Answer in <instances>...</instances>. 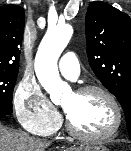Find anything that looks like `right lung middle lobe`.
Wrapping results in <instances>:
<instances>
[{
	"instance_id": "right-lung-middle-lobe-1",
	"label": "right lung middle lobe",
	"mask_w": 131,
	"mask_h": 151,
	"mask_svg": "<svg viewBox=\"0 0 131 151\" xmlns=\"http://www.w3.org/2000/svg\"><path fill=\"white\" fill-rule=\"evenodd\" d=\"M18 70L0 69V113H12L13 90Z\"/></svg>"
}]
</instances>
